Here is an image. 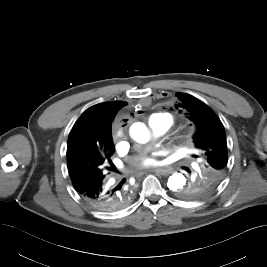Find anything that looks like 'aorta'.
Returning a JSON list of instances; mask_svg holds the SVG:
<instances>
[{"label":"aorta","mask_w":267,"mask_h":267,"mask_svg":"<svg viewBox=\"0 0 267 267\" xmlns=\"http://www.w3.org/2000/svg\"><path fill=\"white\" fill-rule=\"evenodd\" d=\"M131 137L138 143L149 141L150 135L144 123L137 122L130 127ZM186 178L182 173H174L168 178L167 186L172 191H179L184 187Z\"/></svg>","instance_id":"1"}]
</instances>
